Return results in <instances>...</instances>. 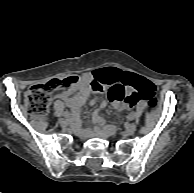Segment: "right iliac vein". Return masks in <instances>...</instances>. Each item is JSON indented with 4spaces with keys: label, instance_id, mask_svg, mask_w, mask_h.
I'll return each instance as SVG.
<instances>
[{
    "label": "right iliac vein",
    "instance_id": "63e3f726",
    "mask_svg": "<svg viewBox=\"0 0 194 193\" xmlns=\"http://www.w3.org/2000/svg\"><path fill=\"white\" fill-rule=\"evenodd\" d=\"M70 121H71L70 119H68V120L60 119L59 123L62 127H67L69 125Z\"/></svg>",
    "mask_w": 194,
    "mask_h": 193
}]
</instances>
